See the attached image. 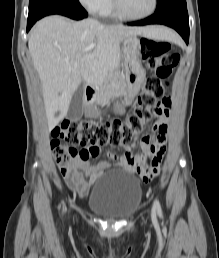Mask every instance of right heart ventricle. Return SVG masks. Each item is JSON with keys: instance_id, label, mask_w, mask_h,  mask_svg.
Listing matches in <instances>:
<instances>
[{"instance_id": "obj_1", "label": "right heart ventricle", "mask_w": 219, "mask_h": 258, "mask_svg": "<svg viewBox=\"0 0 219 258\" xmlns=\"http://www.w3.org/2000/svg\"><path fill=\"white\" fill-rule=\"evenodd\" d=\"M100 13L103 16H115L116 15V13H115V11L113 9L112 0H107L105 6L102 8Z\"/></svg>"}]
</instances>
